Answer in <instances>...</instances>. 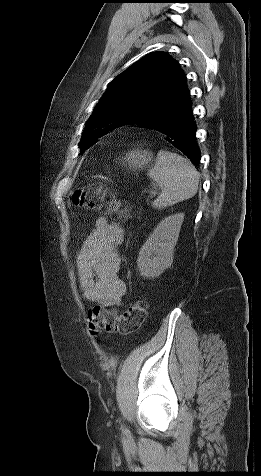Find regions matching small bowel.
Here are the masks:
<instances>
[{
  "label": "small bowel",
  "instance_id": "1",
  "mask_svg": "<svg viewBox=\"0 0 261 476\" xmlns=\"http://www.w3.org/2000/svg\"><path fill=\"white\" fill-rule=\"evenodd\" d=\"M124 231L101 217L77 252L79 287L86 301L109 308L121 304L126 285L120 277L118 247Z\"/></svg>",
  "mask_w": 261,
  "mask_h": 476
}]
</instances>
